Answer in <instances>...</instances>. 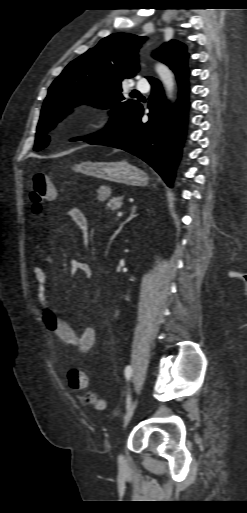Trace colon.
Instances as JSON below:
<instances>
[{
	"instance_id": "colon-1",
	"label": "colon",
	"mask_w": 247,
	"mask_h": 513,
	"mask_svg": "<svg viewBox=\"0 0 247 513\" xmlns=\"http://www.w3.org/2000/svg\"><path fill=\"white\" fill-rule=\"evenodd\" d=\"M56 192V185L51 175L47 173H37L34 175L29 186V198L32 202L33 211L35 213L40 212L42 204L54 199ZM68 380L70 387L75 390L89 391L90 389L89 378L81 371L71 370L68 374ZM86 400L98 409L103 407V403L91 394L86 396Z\"/></svg>"
}]
</instances>
